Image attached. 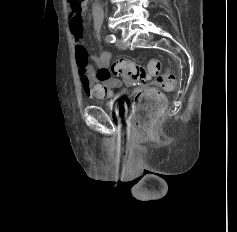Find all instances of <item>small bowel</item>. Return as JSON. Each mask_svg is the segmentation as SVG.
Listing matches in <instances>:
<instances>
[{
    "instance_id": "c3829d8e",
    "label": "small bowel",
    "mask_w": 237,
    "mask_h": 232,
    "mask_svg": "<svg viewBox=\"0 0 237 232\" xmlns=\"http://www.w3.org/2000/svg\"><path fill=\"white\" fill-rule=\"evenodd\" d=\"M102 20V10L94 8L93 23L96 32H99ZM69 27L74 38L76 61L83 91L91 98L106 99L113 97V90L120 86V81L113 77L109 71L111 52L104 50L98 57H91L88 54L84 45L81 12L71 10ZM89 60L94 62L96 68L89 64Z\"/></svg>"
}]
</instances>
